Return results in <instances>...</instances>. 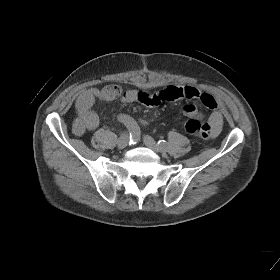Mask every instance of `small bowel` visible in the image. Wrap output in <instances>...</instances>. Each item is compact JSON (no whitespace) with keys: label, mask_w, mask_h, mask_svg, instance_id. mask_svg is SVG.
<instances>
[{"label":"small bowel","mask_w":280,"mask_h":280,"mask_svg":"<svg viewBox=\"0 0 280 280\" xmlns=\"http://www.w3.org/2000/svg\"><path fill=\"white\" fill-rule=\"evenodd\" d=\"M110 99L111 97L105 89L91 88L81 92L76 101L77 118L73 124L74 134L81 136L85 132L97 128L99 119L97 114L91 110V107L95 100L107 101ZM121 100L125 104L138 102L148 107L157 106L164 101L186 100V103L182 106V112L190 118L202 119L203 114L196 105V102H199L212 110L208 117V124L213 129L212 137L220 132L223 125V113L216 99L212 95L203 93L191 86H167L156 93L130 89L123 94ZM141 124H144V122H141Z\"/></svg>","instance_id":"1"}]
</instances>
